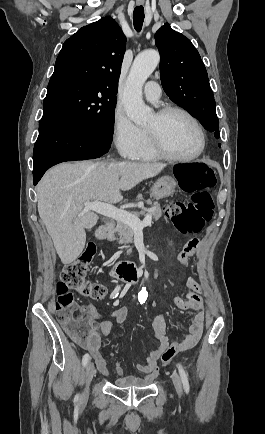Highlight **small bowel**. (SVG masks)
<instances>
[{
	"instance_id": "1",
	"label": "small bowel",
	"mask_w": 265,
	"mask_h": 434,
	"mask_svg": "<svg viewBox=\"0 0 265 434\" xmlns=\"http://www.w3.org/2000/svg\"><path fill=\"white\" fill-rule=\"evenodd\" d=\"M199 239L191 238L182 248L177 256V263L180 268H185L189 265L191 257L196 253L199 246ZM204 288L196 280L191 277H184L181 285V294L175 295L172 299L173 304L184 311H196V314L188 319H183L186 333L182 337V348L180 352L187 351L193 348L201 338L204 322H205V304L203 299ZM78 309L87 315H100L96 309L90 306H79ZM128 311L124 307L116 308L109 313V317L114 319L116 323L126 321ZM88 329L82 339V346L88 349L96 358L95 362L98 365L103 364L104 359L100 356L101 338L107 336L112 329V322L108 318H103L99 322L91 323L88 319ZM154 338L158 345L147 352L143 362L137 365V369L143 372V377L134 376V378H119L117 385L119 387H147L153 377H158L156 372V364L165 349L167 340H171L167 335L165 317L159 314L153 321ZM81 346V347H82ZM113 356V355H112ZM117 374L123 377V370L120 365H116ZM153 373V374H152ZM150 374L153 377H150Z\"/></svg>"
}]
</instances>
